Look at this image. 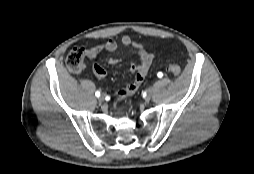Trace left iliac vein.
<instances>
[{"label": "left iliac vein", "instance_id": "left-iliac-vein-1", "mask_svg": "<svg viewBox=\"0 0 254 174\" xmlns=\"http://www.w3.org/2000/svg\"><path fill=\"white\" fill-rule=\"evenodd\" d=\"M153 94H154V88L150 87L147 90L146 100L149 101L152 98Z\"/></svg>", "mask_w": 254, "mask_h": 174}]
</instances>
